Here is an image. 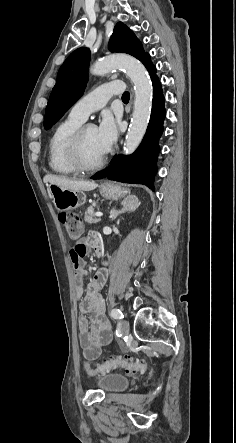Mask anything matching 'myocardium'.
I'll return each instance as SVG.
<instances>
[{
	"label": "myocardium",
	"instance_id": "obj_1",
	"mask_svg": "<svg viewBox=\"0 0 236 443\" xmlns=\"http://www.w3.org/2000/svg\"><path fill=\"white\" fill-rule=\"evenodd\" d=\"M90 127H94L93 124L85 123L82 124L70 137L66 153L67 158L71 166L77 171L82 173H89L98 170L102 167L106 160V154L104 153L96 162L93 164H86L81 155V145L84 133Z\"/></svg>",
	"mask_w": 236,
	"mask_h": 443
}]
</instances>
